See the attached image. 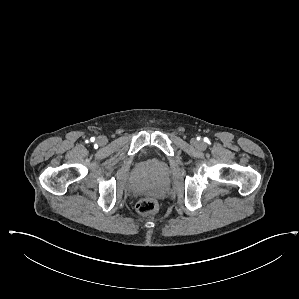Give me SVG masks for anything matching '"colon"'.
Segmentation results:
<instances>
[{"label":"colon","mask_w":299,"mask_h":299,"mask_svg":"<svg viewBox=\"0 0 299 299\" xmlns=\"http://www.w3.org/2000/svg\"><path fill=\"white\" fill-rule=\"evenodd\" d=\"M136 208L141 215H151L157 211L158 202L153 198H144L138 202Z\"/></svg>","instance_id":"obj_1"}]
</instances>
